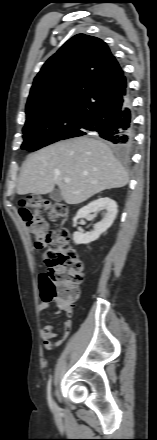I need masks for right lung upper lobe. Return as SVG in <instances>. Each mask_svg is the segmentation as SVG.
Listing matches in <instances>:
<instances>
[{
	"label": "right lung upper lobe",
	"mask_w": 157,
	"mask_h": 440,
	"mask_svg": "<svg viewBox=\"0 0 157 440\" xmlns=\"http://www.w3.org/2000/svg\"><path fill=\"white\" fill-rule=\"evenodd\" d=\"M127 95L126 77L106 43L78 34L50 57L35 77L26 121L84 125Z\"/></svg>",
	"instance_id": "1"
}]
</instances>
